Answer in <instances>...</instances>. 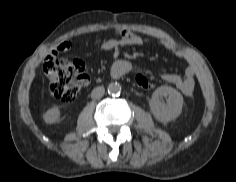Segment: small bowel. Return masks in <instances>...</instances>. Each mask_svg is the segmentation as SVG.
<instances>
[{"label": "small bowel", "mask_w": 236, "mask_h": 182, "mask_svg": "<svg viewBox=\"0 0 236 182\" xmlns=\"http://www.w3.org/2000/svg\"><path fill=\"white\" fill-rule=\"evenodd\" d=\"M116 33L118 35L117 38L107 39L103 42V50L111 51L123 45L143 46L148 43L146 38L136 35L126 29H117ZM161 45L172 55L178 58L187 59V54L183 50H180L173 41L163 40ZM71 47V42L64 41L57 47L55 53L58 54L67 52L71 49ZM161 78L165 82L174 85L183 95L188 97L193 95L195 88V67L193 64H189L182 75L175 73H163L161 74Z\"/></svg>", "instance_id": "obj_1"}]
</instances>
